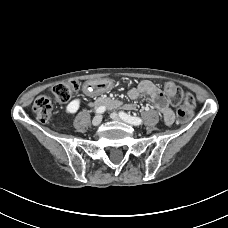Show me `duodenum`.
<instances>
[{
	"label": "duodenum",
	"mask_w": 228,
	"mask_h": 228,
	"mask_svg": "<svg viewBox=\"0 0 228 228\" xmlns=\"http://www.w3.org/2000/svg\"><path fill=\"white\" fill-rule=\"evenodd\" d=\"M99 102H103L113 108H119L122 105L120 101L112 100V99H108V98L101 99V100H99Z\"/></svg>",
	"instance_id": "410a0bca"
}]
</instances>
